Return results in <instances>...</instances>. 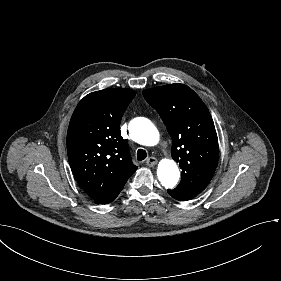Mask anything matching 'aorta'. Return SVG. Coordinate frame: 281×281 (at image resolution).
Segmentation results:
<instances>
[{"label":"aorta","mask_w":281,"mask_h":281,"mask_svg":"<svg viewBox=\"0 0 281 281\" xmlns=\"http://www.w3.org/2000/svg\"><path fill=\"white\" fill-rule=\"evenodd\" d=\"M130 134L134 141L145 146H154L159 141V132L146 118H137L130 123ZM157 176L162 186L174 188L179 181L180 172L173 160L163 159L158 164Z\"/></svg>","instance_id":"aorta-1"}]
</instances>
